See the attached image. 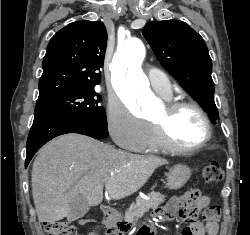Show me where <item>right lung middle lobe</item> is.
<instances>
[{
    "instance_id": "1",
    "label": "right lung middle lobe",
    "mask_w": 250,
    "mask_h": 235,
    "mask_svg": "<svg viewBox=\"0 0 250 235\" xmlns=\"http://www.w3.org/2000/svg\"><path fill=\"white\" fill-rule=\"evenodd\" d=\"M94 87L95 85L39 97L34 115L64 114L107 125L104 108L98 105L101 97L95 92Z\"/></svg>"
}]
</instances>
